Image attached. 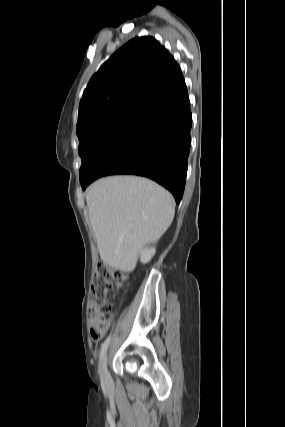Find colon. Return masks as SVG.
I'll return each mask as SVG.
<instances>
[{
	"label": "colon",
	"mask_w": 285,
	"mask_h": 427,
	"mask_svg": "<svg viewBox=\"0 0 285 427\" xmlns=\"http://www.w3.org/2000/svg\"><path fill=\"white\" fill-rule=\"evenodd\" d=\"M124 274L117 269L105 264L97 266L91 287V296L94 301L90 308L89 327L93 339H101L107 332L112 308L108 301L124 280Z\"/></svg>",
	"instance_id": "obj_1"
}]
</instances>
